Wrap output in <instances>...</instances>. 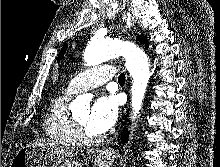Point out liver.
I'll use <instances>...</instances> for the list:
<instances>
[{
  "mask_svg": "<svg viewBox=\"0 0 220 167\" xmlns=\"http://www.w3.org/2000/svg\"><path fill=\"white\" fill-rule=\"evenodd\" d=\"M32 145L45 149L57 160L71 159L78 154V150L74 148L56 145L54 141L44 138L37 139Z\"/></svg>",
  "mask_w": 220,
  "mask_h": 167,
  "instance_id": "obj_1",
  "label": "liver"
}]
</instances>
